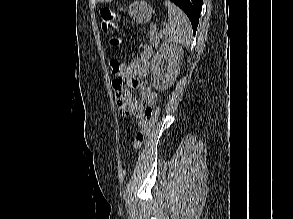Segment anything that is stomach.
<instances>
[{
	"label": "stomach",
	"instance_id": "stomach-1",
	"mask_svg": "<svg viewBox=\"0 0 293 219\" xmlns=\"http://www.w3.org/2000/svg\"><path fill=\"white\" fill-rule=\"evenodd\" d=\"M125 12L129 17L139 24H145L149 22L152 17L153 9L145 1L139 0L135 1L126 8ZM121 19V15L116 14L115 18L111 20L112 23H118Z\"/></svg>",
	"mask_w": 293,
	"mask_h": 219
}]
</instances>
